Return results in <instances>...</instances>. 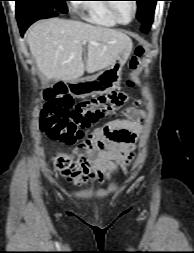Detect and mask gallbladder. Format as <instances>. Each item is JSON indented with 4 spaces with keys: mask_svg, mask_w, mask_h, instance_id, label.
Returning <instances> with one entry per match:
<instances>
[{
    "mask_svg": "<svg viewBox=\"0 0 194 253\" xmlns=\"http://www.w3.org/2000/svg\"><path fill=\"white\" fill-rule=\"evenodd\" d=\"M56 82H57V81H56L55 79L52 80V83H53V84L56 83Z\"/></svg>",
    "mask_w": 194,
    "mask_h": 253,
    "instance_id": "1",
    "label": "gallbladder"
}]
</instances>
